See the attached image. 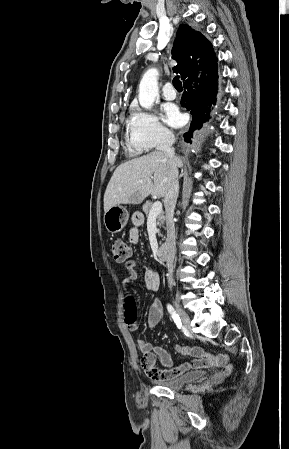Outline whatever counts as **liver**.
<instances>
[{
    "mask_svg": "<svg viewBox=\"0 0 289 449\" xmlns=\"http://www.w3.org/2000/svg\"><path fill=\"white\" fill-rule=\"evenodd\" d=\"M175 158L177 167H182L181 158ZM168 174V158L162 151H154L122 163L107 185L104 211L120 204H140L150 194L165 197L168 191Z\"/></svg>",
    "mask_w": 289,
    "mask_h": 449,
    "instance_id": "1",
    "label": "liver"
}]
</instances>
